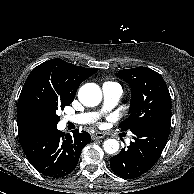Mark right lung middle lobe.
I'll list each match as a JSON object with an SVG mask.
<instances>
[{
  "label": "right lung middle lobe",
  "mask_w": 194,
  "mask_h": 194,
  "mask_svg": "<svg viewBox=\"0 0 194 194\" xmlns=\"http://www.w3.org/2000/svg\"><path fill=\"white\" fill-rule=\"evenodd\" d=\"M73 100V96L39 77L34 78L23 93V102L28 114L46 128L57 126L60 117L56 110L63 109Z\"/></svg>",
  "instance_id": "dd1d6c3e"
}]
</instances>
